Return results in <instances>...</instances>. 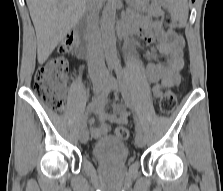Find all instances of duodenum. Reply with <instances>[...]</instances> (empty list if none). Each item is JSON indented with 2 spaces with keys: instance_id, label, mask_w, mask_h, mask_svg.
Returning a JSON list of instances; mask_svg holds the SVG:
<instances>
[{
  "instance_id": "1",
  "label": "duodenum",
  "mask_w": 223,
  "mask_h": 191,
  "mask_svg": "<svg viewBox=\"0 0 223 191\" xmlns=\"http://www.w3.org/2000/svg\"><path fill=\"white\" fill-rule=\"evenodd\" d=\"M74 31L84 40H89L90 38V33L87 29L83 28L81 24L77 23L74 27ZM120 34L122 37H127L130 34V31L126 28V26H121L120 27ZM77 52L82 57H87L89 54V48L87 43L84 41L79 48L77 49Z\"/></svg>"
}]
</instances>
